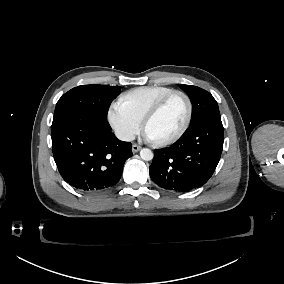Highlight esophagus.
Segmentation results:
<instances>
[{
  "mask_svg": "<svg viewBox=\"0 0 284 284\" xmlns=\"http://www.w3.org/2000/svg\"><path fill=\"white\" fill-rule=\"evenodd\" d=\"M140 149H141L140 145H137V144L132 145V152L133 153H137Z\"/></svg>",
  "mask_w": 284,
  "mask_h": 284,
  "instance_id": "esophagus-1",
  "label": "esophagus"
}]
</instances>
